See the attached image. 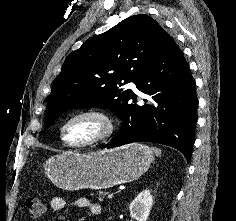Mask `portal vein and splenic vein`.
<instances>
[{
    "label": "portal vein and splenic vein",
    "mask_w": 236,
    "mask_h": 221,
    "mask_svg": "<svg viewBox=\"0 0 236 221\" xmlns=\"http://www.w3.org/2000/svg\"><path fill=\"white\" fill-rule=\"evenodd\" d=\"M113 198V194H108V199H112Z\"/></svg>",
    "instance_id": "obj_1"
}]
</instances>
